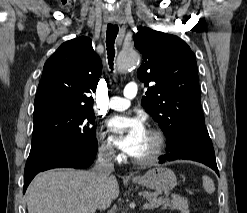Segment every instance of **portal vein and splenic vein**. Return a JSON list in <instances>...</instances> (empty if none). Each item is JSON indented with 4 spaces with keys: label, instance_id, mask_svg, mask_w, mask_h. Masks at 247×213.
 I'll return each mask as SVG.
<instances>
[{
    "label": "portal vein and splenic vein",
    "instance_id": "portal-vein-and-splenic-vein-1",
    "mask_svg": "<svg viewBox=\"0 0 247 213\" xmlns=\"http://www.w3.org/2000/svg\"><path fill=\"white\" fill-rule=\"evenodd\" d=\"M164 201L163 200H156L154 202L151 203H144L143 204V209H152V208H157L158 206H160Z\"/></svg>",
    "mask_w": 247,
    "mask_h": 213
}]
</instances>
